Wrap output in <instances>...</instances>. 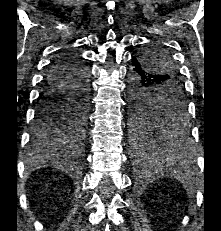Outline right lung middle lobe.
Masks as SVG:
<instances>
[{"mask_svg": "<svg viewBox=\"0 0 221 231\" xmlns=\"http://www.w3.org/2000/svg\"><path fill=\"white\" fill-rule=\"evenodd\" d=\"M89 99L82 96L69 98L61 104L49 106L46 113L49 116L44 131L39 137L49 142L59 138L61 132L77 144L83 142Z\"/></svg>", "mask_w": 221, "mask_h": 231, "instance_id": "dd1d6c3e", "label": "right lung middle lobe"}]
</instances>
